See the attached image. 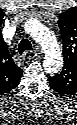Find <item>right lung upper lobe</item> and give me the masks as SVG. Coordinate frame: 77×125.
I'll return each mask as SVG.
<instances>
[{
	"label": "right lung upper lobe",
	"mask_w": 77,
	"mask_h": 125,
	"mask_svg": "<svg viewBox=\"0 0 77 125\" xmlns=\"http://www.w3.org/2000/svg\"><path fill=\"white\" fill-rule=\"evenodd\" d=\"M6 52L7 56L2 60L3 65L1 75L4 83L9 86V89H11L15 87L19 82V79L22 75V69L12 61L8 50H6Z\"/></svg>",
	"instance_id": "cb5924a9"
}]
</instances>
